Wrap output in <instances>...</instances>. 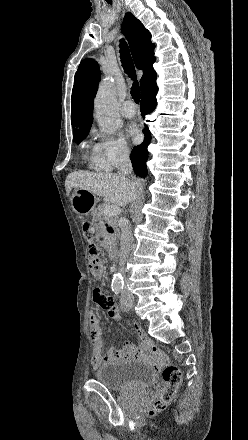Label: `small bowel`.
Returning a JSON list of instances; mask_svg holds the SVG:
<instances>
[{"label": "small bowel", "mask_w": 248, "mask_h": 440, "mask_svg": "<svg viewBox=\"0 0 248 440\" xmlns=\"http://www.w3.org/2000/svg\"><path fill=\"white\" fill-rule=\"evenodd\" d=\"M99 291L103 297L96 295ZM94 302L107 311L110 317L117 319L119 313L113 302L105 294L97 289L94 292ZM89 326L92 340L91 364L93 368H98L104 363H112L123 359H142L145 358L155 366H160L165 362L164 353L158 349L148 336L140 332L141 346L136 347L126 343L124 348H110L104 351V337L99 324V320L94 312L89 314Z\"/></svg>", "instance_id": "small-bowel-1"}]
</instances>
